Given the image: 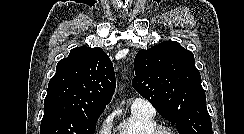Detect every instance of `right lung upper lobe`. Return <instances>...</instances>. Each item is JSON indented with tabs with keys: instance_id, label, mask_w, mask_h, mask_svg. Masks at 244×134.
Returning a JSON list of instances; mask_svg holds the SVG:
<instances>
[{
	"instance_id": "cb5924a9",
	"label": "right lung upper lobe",
	"mask_w": 244,
	"mask_h": 134,
	"mask_svg": "<svg viewBox=\"0 0 244 134\" xmlns=\"http://www.w3.org/2000/svg\"><path fill=\"white\" fill-rule=\"evenodd\" d=\"M111 60L98 47H77L60 60L51 78L44 106L61 104L89 114H101L115 90Z\"/></svg>"
}]
</instances>
